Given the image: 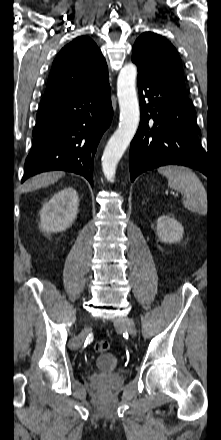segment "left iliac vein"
Instances as JSON below:
<instances>
[{"label": "left iliac vein", "mask_w": 221, "mask_h": 440, "mask_svg": "<svg viewBox=\"0 0 221 440\" xmlns=\"http://www.w3.org/2000/svg\"><path fill=\"white\" fill-rule=\"evenodd\" d=\"M115 326L127 330L133 337L136 336V328L134 322L128 317H120L116 319Z\"/></svg>", "instance_id": "4c4485c4"}]
</instances>
